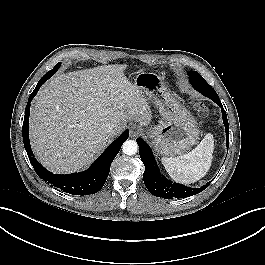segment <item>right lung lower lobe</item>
Returning a JSON list of instances; mask_svg holds the SVG:
<instances>
[{
  "instance_id": "obj_1",
  "label": "right lung lower lobe",
  "mask_w": 265,
  "mask_h": 265,
  "mask_svg": "<svg viewBox=\"0 0 265 265\" xmlns=\"http://www.w3.org/2000/svg\"><path fill=\"white\" fill-rule=\"evenodd\" d=\"M53 74L46 73L38 82L36 88L31 93L25 109V117L22 128L23 142L29 160L37 175L45 182L61 189L63 192L73 195L94 194L101 190L108 177L110 166L115 156L120 151L122 144L128 139L129 131H124L115 141H113L102 155L90 166L89 169L79 173L59 175L46 170L33 155L29 141V114L32 99L37 94L41 85Z\"/></svg>"
}]
</instances>
